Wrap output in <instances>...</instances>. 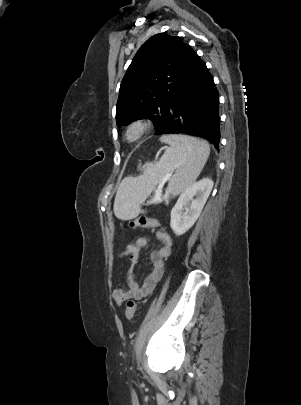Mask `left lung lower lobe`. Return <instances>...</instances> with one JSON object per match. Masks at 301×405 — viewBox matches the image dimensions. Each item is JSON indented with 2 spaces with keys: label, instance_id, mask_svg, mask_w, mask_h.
<instances>
[{
  "label": "left lung lower lobe",
  "instance_id": "obj_1",
  "mask_svg": "<svg viewBox=\"0 0 301 405\" xmlns=\"http://www.w3.org/2000/svg\"><path fill=\"white\" fill-rule=\"evenodd\" d=\"M157 135L182 134L206 139L219 149V96L203 60L193 55L187 74L178 88Z\"/></svg>",
  "mask_w": 301,
  "mask_h": 405
}]
</instances>
